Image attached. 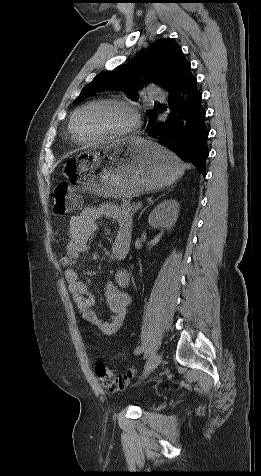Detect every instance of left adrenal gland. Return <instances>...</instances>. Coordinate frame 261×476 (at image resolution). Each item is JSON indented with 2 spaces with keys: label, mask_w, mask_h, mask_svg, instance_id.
I'll use <instances>...</instances> for the list:
<instances>
[{
  "label": "left adrenal gland",
  "mask_w": 261,
  "mask_h": 476,
  "mask_svg": "<svg viewBox=\"0 0 261 476\" xmlns=\"http://www.w3.org/2000/svg\"><path fill=\"white\" fill-rule=\"evenodd\" d=\"M163 196V195H162ZM153 203V202H152ZM151 204V203H150ZM149 205H147L141 212H140V215H139V218L141 217V215L143 214V212L148 208Z\"/></svg>",
  "instance_id": "obj_1"
}]
</instances>
